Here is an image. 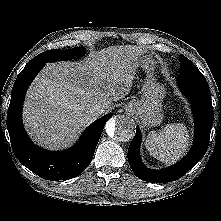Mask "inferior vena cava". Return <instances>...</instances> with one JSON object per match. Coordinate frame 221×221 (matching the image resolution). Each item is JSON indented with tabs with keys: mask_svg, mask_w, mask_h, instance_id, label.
I'll return each mask as SVG.
<instances>
[{
	"mask_svg": "<svg viewBox=\"0 0 221 221\" xmlns=\"http://www.w3.org/2000/svg\"><path fill=\"white\" fill-rule=\"evenodd\" d=\"M104 111L105 110H104V108L101 105H94L90 109L91 114H93L96 117L102 115L104 113Z\"/></svg>",
	"mask_w": 221,
	"mask_h": 221,
	"instance_id": "1",
	"label": "inferior vena cava"
}]
</instances>
